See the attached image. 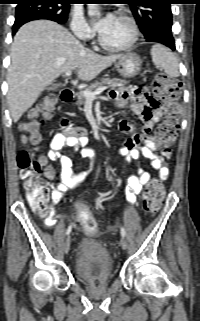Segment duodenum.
Masks as SVG:
<instances>
[{"mask_svg":"<svg viewBox=\"0 0 200 321\" xmlns=\"http://www.w3.org/2000/svg\"><path fill=\"white\" fill-rule=\"evenodd\" d=\"M74 97H75V93L72 89L65 88L61 91L60 98L65 103L71 102L74 99ZM63 125L65 127H70L69 122L66 120L63 121Z\"/></svg>","mask_w":200,"mask_h":321,"instance_id":"1","label":"duodenum"}]
</instances>
